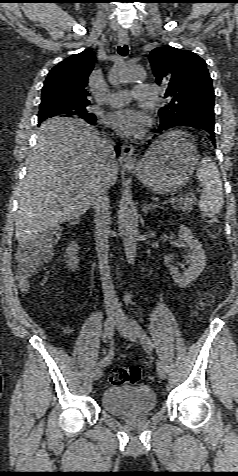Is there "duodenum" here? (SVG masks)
<instances>
[{"label": "duodenum", "mask_w": 238, "mask_h": 476, "mask_svg": "<svg viewBox=\"0 0 238 476\" xmlns=\"http://www.w3.org/2000/svg\"><path fill=\"white\" fill-rule=\"evenodd\" d=\"M79 224H80V221H75V222L72 223V226H73V227H76V226H78Z\"/></svg>", "instance_id": "410a0bca"}]
</instances>
